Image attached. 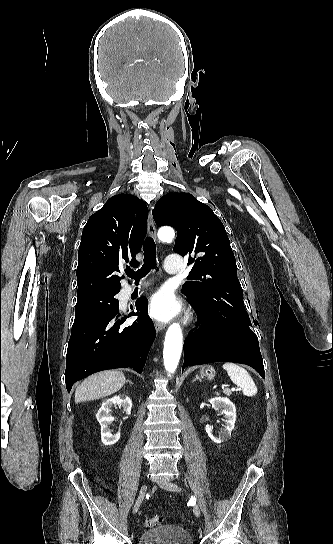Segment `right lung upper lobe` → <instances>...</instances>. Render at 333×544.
<instances>
[{
  "label": "right lung upper lobe",
  "mask_w": 333,
  "mask_h": 544,
  "mask_svg": "<svg viewBox=\"0 0 333 544\" xmlns=\"http://www.w3.org/2000/svg\"><path fill=\"white\" fill-rule=\"evenodd\" d=\"M148 208L135 196L118 194L87 221L78 251L77 299L119 292V266L135 259L147 231Z\"/></svg>",
  "instance_id": "right-lung-upper-lobe-1"
}]
</instances>
